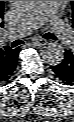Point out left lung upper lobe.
Returning <instances> with one entry per match:
<instances>
[{"label":"left lung upper lobe","mask_w":74,"mask_h":122,"mask_svg":"<svg viewBox=\"0 0 74 122\" xmlns=\"http://www.w3.org/2000/svg\"><path fill=\"white\" fill-rule=\"evenodd\" d=\"M71 3H72V19H73L72 27L74 28V1H71Z\"/></svg>","instance_id":"1"}]
</instances>
